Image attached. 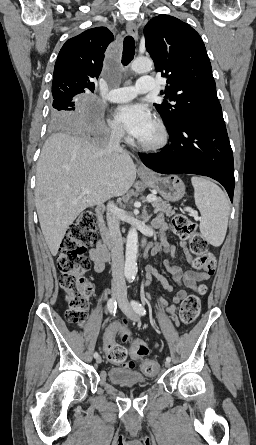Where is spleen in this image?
<instances>
[{
    "label": "spleen",
    "instance_id": "3e777b00",
    "mask_svg": "<svg viewBox=\"0 0 256 445\" xmlns=\"http://www.w3.org/2000/svg\"><path fill=\"white\" fill-rule=\"evenodd\" d=\"M195 204L201 213L200 231L213 246H220L225 238L230 214L229 201L219 186L210 180L193 176Z\"/></svg>",
    "mask_w": 256,
    "mask_h": 445
}]
</instances>
